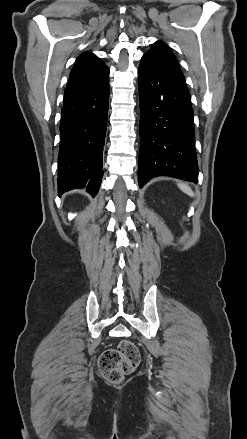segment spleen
<instances>
[{"label":"spleen","mask_w":247,"mask_h":439,"mask_svg":"<svg viewBox=\"0 0 247 439\" xmlns=\"http://www.w3.org/2000/svg\"><path fill=\"white\" fill-rule=\"evenodd\" d=\"M178 187L185 194H187L189 196H194L193 191L191 190V188L188 185H186L184 183H178Z\"/></svg>","instance_id":"spleen-1"}]
</instances>
